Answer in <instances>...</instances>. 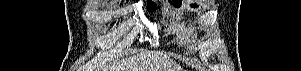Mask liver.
<instances>
[{
	"instance_id": "liver-1",
	"label": "liver",
	"mask_w": 301,
	"mask_h": 71,
	"mask_svg": "<svg viewBox=\"0 0 301 71\" xmlns=\"http://www.w3.org/2000/svg\"><path fill=\"white\" fill-rule=\"evenodd\" d=\"M103 71H181V67L160 54L141 52L132 58L114 63Z\"/></svg>"
}]
</instances>
